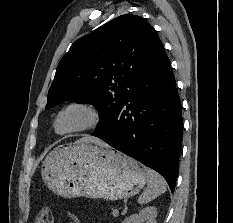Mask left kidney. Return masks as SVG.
<instances>
[{
  "instance_id": "1",
  "label": "left kidney",
  "mask_w": 233,
  "mask_h": 223,
  "mask_svg": "<svg viewBox=\"0 0 233 223\" xmlns=\"http://www.w3.org/2000/svg\"><path fill=\"white\" fill-rule=\"evenodd\" d=\"M157 217V207L154 205H148V207H144L141 209L139 213H133L130 217H126L122 223H156Z\"/></svg>"
}]
</instances>
